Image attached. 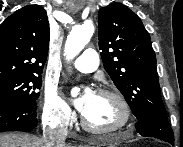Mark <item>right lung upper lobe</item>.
I'll list each match as a JSON object with an SVG mask.
<instances>
[{
  "label": "right lung upper lobe",
  "mask_w": 183,
  "mask_h": 147,
  "mask_svg": "<svg viewBox=\"0 0 183 147\" xmlns=\"http://www.w3.org/2000/svg\"><path fill=\"white\" fill-rule=\"evenodd\" d=\"M49 22L39 5L25 6L0 26V79L38 75L49 47Z\"/></svg>",
  "instance_id": "obj_1"
}]
</instances>
